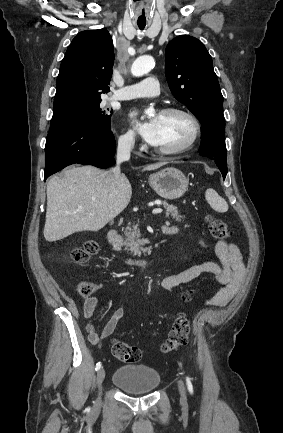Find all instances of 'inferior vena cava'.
<instances>
[{
	"label": "inferior vena cava",
	"mask_w": 283,
	"mask_h": 433,
	"mask_svg": "<svg viewBox=\"0 0 283 433\" xmlns=\"http://www.w3.org/2000/svg\"><path fill=\"white\" fill-rule=\"evenodd\" d=\"M134 144L133 138H122V140H119L118 142V148H117V164L115 168H113V176L115 180H118L121 176V168L120 164L123 162V160H129L130 158V150Z\"/></svg>",
	"instance_id": "1"
}]
</instances>
